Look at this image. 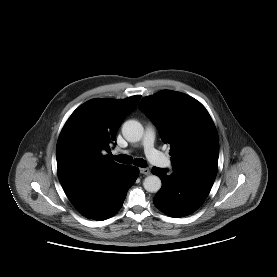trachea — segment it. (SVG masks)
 <instances>
[{
    "instance_id": "trachea-1",
    "label": "trachea",
    "mask_w": 277,
    "mask_h": 277,
    "mask_svg": "<svg viewBox=\"0 0 277 277\" xmlns=\"http://www.w3.org/2000/svg\"><path fill=\"white\" fill-rule=\"evenodd\" d=\"M113 158L119 163L131 164L133 162V164L138 167H146L147 165L146 161L142 158H137L133 161V159L130 156L124 154L113 156Z\"/></svg>"
}]
</instances>
